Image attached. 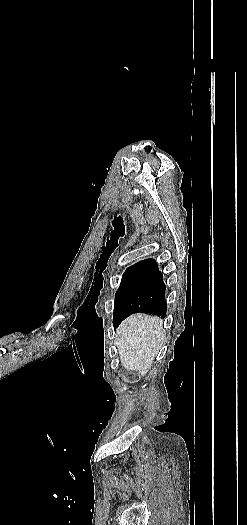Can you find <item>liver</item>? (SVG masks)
Segmentation results:
<instances>
[{
    "mask_svg": "<svg viewBox=\"0 0 247 525\" xmlns=\"http://www.w3.org/2000/svg\"><path fill=\"white\" fill-rule=\"evenodd\" d=\"M163 319L144 313L127 317L116 331L115 347L120 363L127 371H138L141 377L153 367L154 357L164 347Z\"/></svg>",
    "mask_w": 247,
    "mask_h": 525,
    "instance_id": "6515ba94",
    "label": "liver"
}]
</instances>
